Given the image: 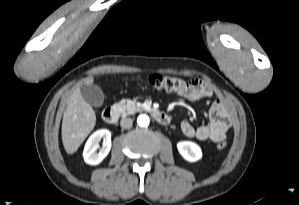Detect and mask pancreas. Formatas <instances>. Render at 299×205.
Wrapping results in <instances>:
<instances>
[{"instance_id": "obj_1", "label": "pancreas", "mask_w": 299, "mask_h": 205, "mask_svg": "<svg viewBox=\"0 0 299 205\" xmlns=\"http://www.w3.org/2000/svg\"><path fill=\"white\" fill-rule=\"evenodd\" d=\"M114 107L119 110L123 116L144 110V107L141 103L128 99H122L119 103L115 104Z\"/></svg>"}]
</instances>
